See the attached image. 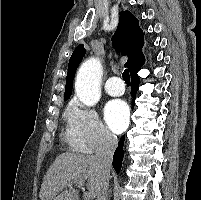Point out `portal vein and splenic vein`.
Returning a JSON list of instances; mask_svg holds the SVG:
<instances>
[{"label":"portal vein and splenic vein","mask_w":201,"mask_h":200,"mask_svg":"<svg viewBox=\"0 0 201 200\" xmlns=\"http://www.w3.org/2000/svg\"><path fill=\"white\" fill-rule=\"evenodd\" d=\"M75 185H77L78 187H83L84 183L83 182H76ZM91 197L92 196L90 193H87V192L84 193V200H90Z\"/></svg>","instance_id":"obj_1"}]
</instances>
